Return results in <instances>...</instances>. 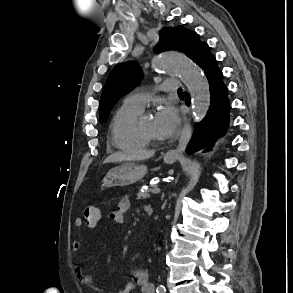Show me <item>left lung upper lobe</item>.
<instances>
[{
  "label": "left lung upper lobe",
  "mask_w": 293,
  "mask_h": 293,
  "mask_svg": "<svg viewBox=\"0 0 293 293\" xmlns=\"http://www.w3.org/2000/svg\"><path fill=\"white\" fill-rule=\"evenodd\" d=\"M204 44L198 39V35L194 31H190L182 26L175 28L165 27L160 30V43L156 45L155 52L160 53L167 50H177L195 61ZM141 79V68L137 63L132 61L121 63L111 71L99 103V118L101 123L106 120L115 103L127 91L138 86Z\"/></svg>",
  "instance_id": "1"
}]
</instances>
